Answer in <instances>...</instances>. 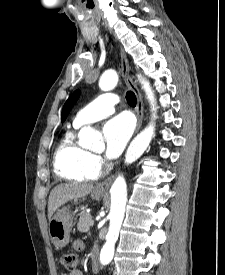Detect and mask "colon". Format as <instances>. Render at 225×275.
Instances as JSON below:
<instances>
[{"instance_id":"obj_1","label":"colon","mask_w":225,"mask_h":275,"mask_svg":"<svg viewBox=\"0 0 225 275\" xmlns=\"http://www.w3.org/2000/svg\"><path fill=\"white\" fill-rule=\"evenodd\" d=\"M61 265L68 271H74L77 265L76 255L73 253H65L60 257Z\"/></svg>"}]
</instances>
